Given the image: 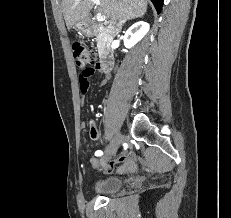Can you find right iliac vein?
<instances>
[{"label": "right iliac vein", "instance_id": "1", "mask_svg": "<svg viewBox=\"0 0 231 218\" xmlns=\"http://www.w3.org/2000/svg\"><path fill=\"white\" fill-rule=\"evenodd\" d=\"M122 141L123 135L121 133H117L110 145L106 148L105 154L100 158V162H107L116 153Z\"/></svg>", "mask_w": 231, "mask_h": 218}]
</instances>
